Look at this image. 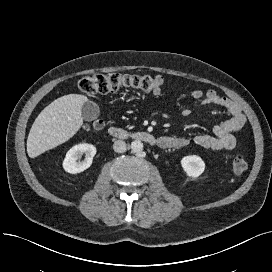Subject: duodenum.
Wrapping results in <instances>:
<instances>
[{"mask_svg": "<svg viewBox=\"0 0 272 272\" xmlns=\"http://www.w3.org/2000/svg\"><path fill=\"white\" fill-rule=\"evenodd\" d=\"M109 135L115 139H136L149 145H157L159 143L158 139L147 131H127L119 127H111L109 129Z\"/></svg>", "mask_w": 272, "mask_h": 272, "instance_id": "obj_1", "label": "duodenum"}]
</instances>
